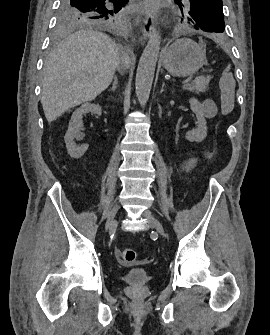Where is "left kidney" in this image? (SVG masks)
<instances>
[{
	"label": "left kidney",
	"mask_w": 270,
	"mask_h": 335,
	"mask_svg": "<svg viewBox=\"0 0 270 335\" xmlns=\"http://www.w3.org/2000/svg\"><path fill=\"white\" fill-rule=\"evenodd\" d=\"M189 104L192 112L196 114L198 128H195L192 132H186V140H189V142H202L207 136V122L202 112V104L198 100H195V98H191Z\"/></svg>",
	"instance_id": "1"
}]
</instances>
